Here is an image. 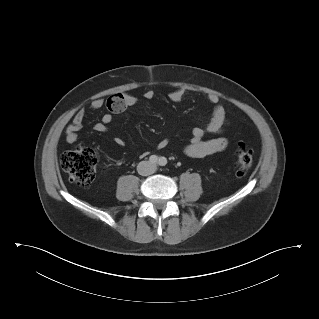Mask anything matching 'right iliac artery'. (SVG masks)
Wrapping results in <instances>:
<instances>
[{
	"mask_svg": "<svg viewBox=\"0 0 319 319\" xmlns=\"http://www.w3.org/2000/svg\"><path fill=\"white\" fill-rule=\"evenodd\" d=\"M149 161L152 164H156L158 162V157L156 155H152V156H150Z\"/></svg>",
	"mask_w": 319,
	"mask_h": 319,
	"instance_id": "82829eb1",
	"label": "right iliac artery"
}]
</instances>
